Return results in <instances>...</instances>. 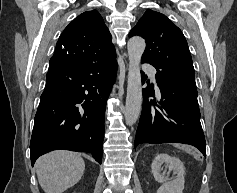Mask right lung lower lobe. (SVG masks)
Listing matches in <instances>:
<instances>
[{
    "mask_svg": "<svg viewBox=\"0 0 237 193\" xmlns=\"http://www.w3.org/2000/svg\"><path fill=\"white\" fill-rule=\"evenodd\" d=\"M115 58L84 67L50 61L30 142L32 166L39 156L56 149L88 152L102 163L104 115L117 72Z\"/></svg>",
    "mask_w": 237,
    "mask_h": 193,
    "instance_id": "98d812e1",
    "label": "right lung lower lobe"
}]
</instances>
